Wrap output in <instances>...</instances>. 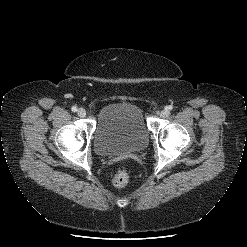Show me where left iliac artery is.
<instances>
[{
    "instance_id": "44dca946",
    "label": "left iliac artery",
    "mask_w": 247,
    "mask_h": 247,
    "mask_svg": "<svg viewBox=\"0 0 247 247\" xmlns=\"http://www.w3.org/2000/svg\"><path fill=\"white\" fill-rule=\"evenodd\" d=\"M172 108H173V106H169V107H168L169 110H172Z\"/></svg>"
}]
</instances>
